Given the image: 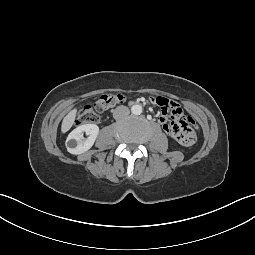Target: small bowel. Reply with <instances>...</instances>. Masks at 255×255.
Segmentation results:
<instances>
[{"instance_id":"c3829d8e","label":"small bowel","mask_w":255,"mask_h":255,"mask_svg":"<svg viewBox=\"0 0 255 255\" xmlns=\"http://www.w3.org/2000/svg\"><path fill=\"white\" fill-rule=\"evenodd\" d=\"M153 107L161 110L158 121L171 140H178L181 145L192 146L197 140V133L184 117L183 110L176 102L170 101L166 96L149 98Z\"/></svg>"}]
</instances>
